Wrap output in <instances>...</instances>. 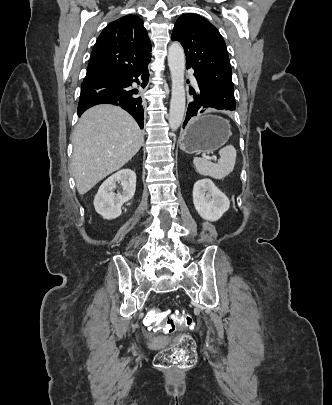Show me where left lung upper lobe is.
Listing matches in <instances>:
<instances>
[{
  "mask_svg": "<svg viewBox=\"0 0 332 405\" xmlns=\"http://www.w3.org/2000/svg\"><path fill=\"white\" fill-rule=\"evenodd\" d=\"M172 40L181 42L186 67L194 69L199 85L211 102L225 110H235L234 85L225 41L218 30L196 14L181 15L174 26Z\"/></svg>",
  "mask_w": 332,
  "mask_h": 405,
  "instance_id": "1",
  "label": "left lung upper lobe"
}]
</instances>
